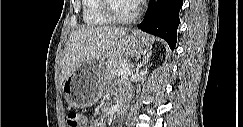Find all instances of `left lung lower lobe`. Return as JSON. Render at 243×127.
<instances>
[{
	"mask_svg": "<svg viewBox=\"0 0 243 127\" xmlns=\"http://www.w3.org/2000/svg\"><path fill=\"white\" fill-rule=\"evenodd\" d=\"M183 0L150 1L146 15L138 28L163 38L173 50L176 45V31L179 25V10Z\"/></svg>",
	"mask_w": 243,
	"mask_h": 127,
	"instance_id": "1",
	"label": "left lung lower lobe"
}]
</instances>
